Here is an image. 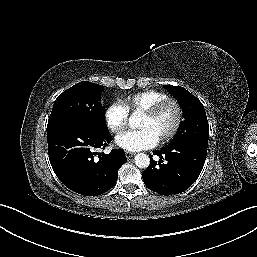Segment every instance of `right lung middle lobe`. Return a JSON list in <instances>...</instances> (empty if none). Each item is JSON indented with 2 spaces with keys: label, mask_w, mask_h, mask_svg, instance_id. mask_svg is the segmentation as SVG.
<instances>
[{
  "label": "right lung middle lobe",
  "mask_w": 257,
  "mask_h": 257,
  "mask_svg": "<svg viewBox=\"0 0 257 257\" xmlns=\"http://www.w3.org/2000/svg\"><path fill=\"white\" fill-rule=\"evenodd\" d=\"M102 91L101 85L87 81L70 87L55 100L48 124L76 120L98 132H108L104 107L100 103Z\"/></svg>",
  "instance_id": "1"
}]
</instances>
